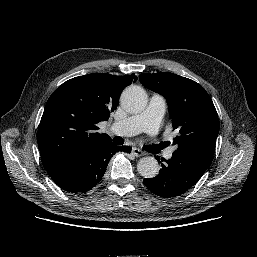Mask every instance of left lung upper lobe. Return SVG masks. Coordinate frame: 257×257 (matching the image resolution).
<instances>
[{
    "mask_svg": "<svg viewBox=\"0 0 257 257\" xmlns=\"http://www.w3.org/2000/svg\"><path fill=\"white\" fill-rule=\"evenodd\" d=\"M139 80L166 98L173 128L179 131L174 139V144L178 145L176 151L210 165L219 120L206 90L195 81L170 72L143 73Z\"/></svg>",
    "mask_w": 257,
    "mask_h": 257,
    "instance_id": "1",
    "label": "left lung upper lobe"
}]
</instances>
